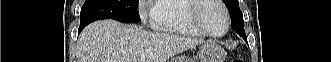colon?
<instances>
[{
    "mask_svg": "<svg viewBox=\"0 0 331 62\" xmlns=\"http://www.w3.org/2000/svg\"><path fill=\"white\" fill-rule=\"evenodd\" d=\"M232 62H243L242 59H235V60H232Z\"/></svg>",
    "mask_w": 331,
    "mask_h": 62,
    "instance_id": "colon-1",
    "label": "colon"
}]
</instances>
